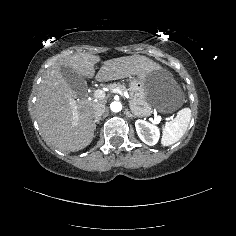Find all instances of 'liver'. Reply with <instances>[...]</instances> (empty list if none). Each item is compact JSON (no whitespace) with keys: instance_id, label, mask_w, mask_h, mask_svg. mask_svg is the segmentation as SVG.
<instances>
[{"instance_id":"obj_1","label":"liver","mask_w":236,"mask_h":236,"mask_svg":"<svg viewBox=\"0 0 236 236\" xmlns=\"http://www.w3.org/2000/svg\"><path fill=\"white\" fill-rule=\"evenodd\" d=\"M99 61V56L87 53L66 56L53 63L42 77L35 105L37 122L46 142L60 151H78L91 143L95 130L93 105L106 103L105 99H78L77 93L63 78L61 66L71 67L83 76L93 77L94 65ZM158 69L161 66L146 56H125L104 61L95 79L107 82L131 75L143 79L149 72ZM74 107L77 108L79 117L77 125H73Z\"/></svg>"}]
</instances>
